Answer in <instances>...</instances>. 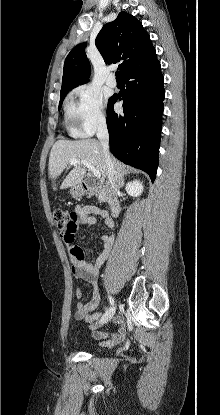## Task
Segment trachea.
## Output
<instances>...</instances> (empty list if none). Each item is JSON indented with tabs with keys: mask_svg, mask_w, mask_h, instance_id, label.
<instances>
[{
	"mask_svg": "<svg viewBox=\"0 0 220 415\" xmlns=\"http://www.w3.org/2000/svg\"><path fill=\"white\" fill-rule=\"evenodd\" d=\"M116 79H121V74L119 71L115 72Z\"/></svg>",
	"mask_w": 220,
	"mask_h": 415,
	"instance_id": "1",
	"label": "trachea"
}]
</instances>
